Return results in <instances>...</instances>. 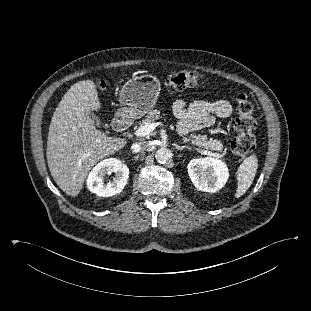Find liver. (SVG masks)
Masks as SVG:
<instances>
[{
  "instance_id": "1",
  "label": "liver",
  "mask_w": 311,
  "mask_h": 311,
  "mask_svg": "<svg viewBox=\"0 0 311 311\" xmlns=\"http://www.w3.org/2000/svg\"><path fill=\"white\" fill-rule=\"evenodd\" d=\"M100 108L96 84L83 80L65 93L51 119L47 163L54 181L69 196L80 193L99 160L126 145L125 139L108 137L94 126L89 113Z\"/></svg>"
}]
</instances>
